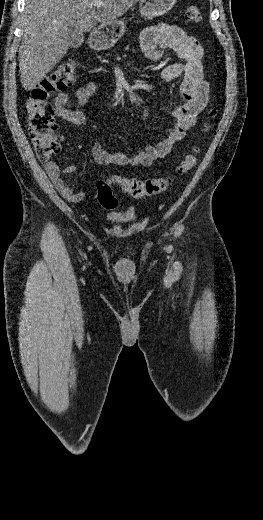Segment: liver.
<instances>
[{
  "mask_svg": "<svg viewBox=\"0 0 263 520\" xmlns=\"http://www.w3.org/2000/svg\"><path fill=\"white\" fill-rule=\"evenodd\" d=\"M101 1L102 6L91 4ZM139 0H26L19 71L26 91L34 89L67 54L68 33L80 34L124 15Z\"/></svg>",
  "mask_w": 263,
  "mask_h": 520,
  "instance_id": "6515ba94",
  "label": "liver"
}]
</instances>
